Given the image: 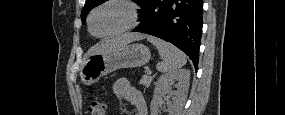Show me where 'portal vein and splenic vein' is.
I'll use <instances>...</instances> for the list:
<instances>
[{"label": "portal vein and splenic vein", "instance_id": "18ae733b", "mask_svg": "<svg viewBox=\"0 0 285 115\" xmlns=\"http://www.w3.org/2000/svg\"><path fill=\"white\" fill-rule=\"evenodd\" d=\"M147 73H148V74H151V73H152V71H151V70H148V71H147Z\"/></svg>", "mask_w": 285, "mask_h": 115}]
</instances>
